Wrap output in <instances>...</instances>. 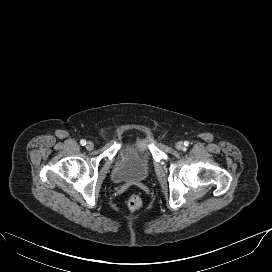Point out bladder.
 <instances>
[{
	"label": "bladder",
	"mask_w": 272,
	"mask_h": 272,
	"mask_svg": "<svg viewBox=\"0 0 272 272\" xmlns=\"http://www.w3.org/2000/svg\"><path fill=\"white\" fill-rule=\"evenodd\" d=\"M152 173L148 149L135 143L123 146L113 164L111 178L116 183H142Z\"/></svg>",
	"instance_id": "obj_1"
}]
</instances>
